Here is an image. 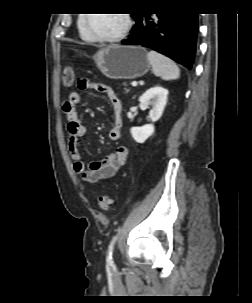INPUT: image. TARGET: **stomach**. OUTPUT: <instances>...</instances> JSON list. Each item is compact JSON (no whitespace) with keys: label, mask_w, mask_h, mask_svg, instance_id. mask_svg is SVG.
<instances>
[{"label":"stomach","mask_w":252,"mask_h":303,"mask_svg":"<svg viewBox=\"0 0 252 303\" xmlns=\"http://www.w3.org/2000/svg\"><path fill=\"white\" fill-rule=\"evenodd\" d=\"M93 59L110 79H136L150 69L147 52L141 46L110 45L99 50Z\"/></svg>","instance_id":"obj_1"}]
</instances>
